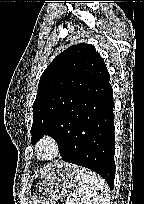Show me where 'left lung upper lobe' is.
<instances>
[{
    "instance_id": "left-lung-upper-lobe-1",
    "label": "left lung upper lobe",
    "mask_w": 144,
    "mask_h": 204,
    "mask_svg": "<svg viewBox=\"0 0 144 204\" xmlns=\"http://www.w3.org/2000/svg\"><path fill=\"white\" fill-rule=\"evenodd\" d=\"M106 68L90 44L70 46L45 69L33 104L32 144L50 135L65 140L86 103V88L98 70Z\"/></svg>"
}]
</instances>
